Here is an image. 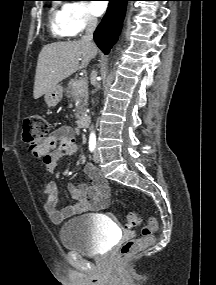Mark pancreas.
<instances>
[{
	"label": "pancreas",
	"mask_w": 216,
	"mask_h": 285,
	"mask_svg": "<svg viewBox=\"0 0 216 285\" xmlns=\"http://www.w3.org/2000/svg\"><path fill=\"white\" fill-rule=\"evenodd\" d=\"M76 81L72 79L66 89V97L71 101H75L76 113L75 117L79 118L85 112V107L88 101V85L85 79H83V84L79 88L74 87Z\"/></svg>",
	"instance_id": "cf45deb5"
}]
</instances>
